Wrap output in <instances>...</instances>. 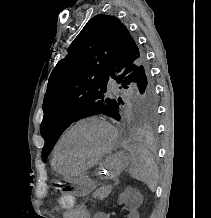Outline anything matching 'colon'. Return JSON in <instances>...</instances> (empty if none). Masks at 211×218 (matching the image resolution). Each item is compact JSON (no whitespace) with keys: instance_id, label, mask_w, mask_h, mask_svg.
Instances as JSON below:
<instances>
[{"instance_id":"colon-1","label":"colon","mask_w":211,"mask_h":218,"mask_svg":"<svg viewBox=\"0 0 211 218\" xmlns=\"http://www.w3.org/2000/svg\"><path fill=\"white\" fill-rule=\"evenodd\" d=\"M58 204L64 209H73L76 206L75 197L68 190H63L58 197Z\"/></svg>"}]
</instances>
